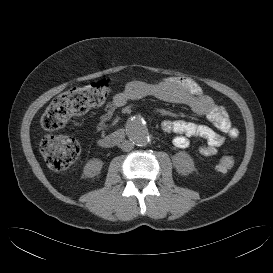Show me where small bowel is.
I'll return each mask as SVG.
<instances>
[{
    "instance_id": "small-bowel-1",
    "label": "small bowel",
    "mask_w": 273,
    "mask_h": 273,
    "mask_svg": "<svg viewBox=\"0 0 273 273\" xmlns=\"http://www.w3.org/2000/svg\"><path fill=\"white\" fill-rule=\"evenodd\" d=\"M145 97H155L160 100L188 106L195 113L205 116L219 131L213 128L185 120H164L160 128L166 133H173V144L179 149H185L190 144V138L198 137L206 141L199 147V153L205 157L217 154L225 141V136L235 140L238 131L231 122L222 106L217 105L211 97L205 95L201 87L187 77H166L157 81H143L136 78L129 79L124 89L117 93L108 105L106 112L99 118V130L106 128L115 108H119L132 100Z\"/></svg>"
}]
</instances>
